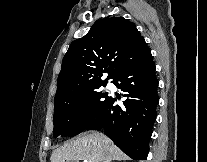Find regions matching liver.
I'll return each mask as SVG.
<instances>
[{
    "label": "liver",
    "mask_w": 207,
    "mask_h": 162,
    "mask_svg": "<svg viewBox=\"0 0 207 162\" xmlns=\"http://www.w3.org/2000/svg\"><path fill=\"white\" fill-rule=\"evenodd\" d=\"M128 157L103 133L91 131L55 149L51 162H111L127 160Z\"/></svg>",
    "instance_id": "1"
}]
</instances>
